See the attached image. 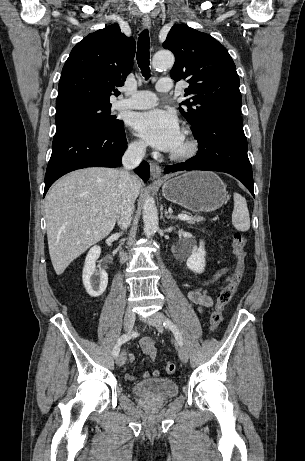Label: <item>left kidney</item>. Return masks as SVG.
I'll list each match as a JSON object with an SVG mask.
<instances>
[{"label": "left kidney", "mask_w": 305, "mask_h": 461, "mask_svg": "<svg viewBox=\"0 0 305 461\" xmlns=\"http://www.w3.org/2000/svg\"><path fill=\"white\" fill-rule=\"evenodd\" d=\"M205 255L204 242L200 241L199 249L193 251L188 257L186 262L187 267L195 273H202L206 264Z\"/></svg>", "instance_id": "left-kidney-1"}]
</instances>
